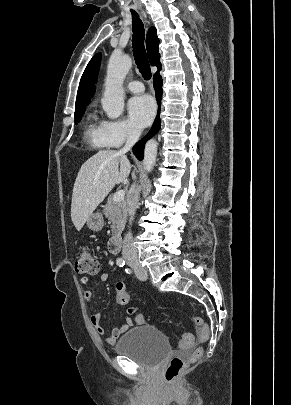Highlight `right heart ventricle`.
Wrapping results in <instances>:
<instances>
[{"instance_id": "1", "label": "right heart ventricle", "mask_w": 291, "mask_h": 405, "mask_svg": "<svg viewBox=\"0 0 291 405\" xmlns=\"http://www.w3.org/2000/svg\"><path fill=\"white\" fill-rule=\"evenodd\" d=\"M85 137L91 145L97 148L109 147L102 133V121H99L94 113L87 118Z\"/></svg>"}]
</instances>
